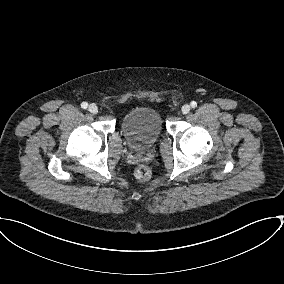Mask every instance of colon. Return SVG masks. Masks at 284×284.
I'll return each mask as SVG.
<instances>
[{
  "label": "colon",
  "mask_w": 284,
  "mask_h": 284,
  "mask_svg": "<svg viewBox=\"0 0 284 284\" xmlns=\"http://www.w3.org/2000/svg\"><path fill=\"white\" fill-rule=\"evenodd\" d=\"M134 176L140 181H146L151 176L150 169L145 165H139L134 170Z\"/></svg>",
  "instance_id": "colon-1"
}]
</instances>
